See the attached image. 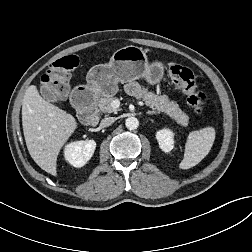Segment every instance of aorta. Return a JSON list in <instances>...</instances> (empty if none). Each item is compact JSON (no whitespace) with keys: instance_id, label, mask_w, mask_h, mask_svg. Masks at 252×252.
Here are the masks:
<instances>
[{"instance_id":"obj_1","label":"aorta","mask_w":252,"mask_h":252,"mask_svg":"<svg viewBox=\"0 0 252 252\" xmlns=\"http://www.w3.org/2000/svg\"><path fill=\"white\" fill-rule=\"evenodd\" d=\"M125 125L129 130H135L139 126V121L136 117H129L126 119Z\"/></svg>"}]
</instances>
